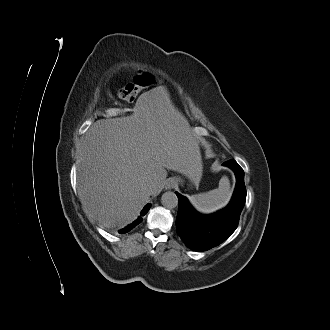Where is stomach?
Instances as JSON below:
<instances>
[{
    "mask_svg": "<svg viewBox=\"0 0 330 330\" xmlns=\"http://www.w3.org/2000/svg\"><path fill=\"white\" fill-rule=\"evenodd\" d=\"M203 165L201 161L200 153L193 156L189 169L188 174L186 175L192 185H198L202 176Z\"/></svg>",
    "mask_w": 330,
    "mask_h": 330,
    "instance_id": "0dacf381",
    "label": "stomach"
}]
</instances>
